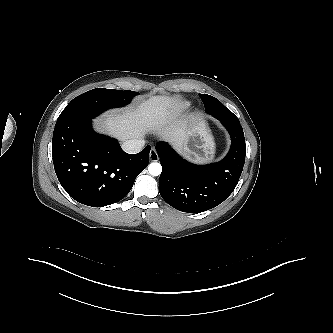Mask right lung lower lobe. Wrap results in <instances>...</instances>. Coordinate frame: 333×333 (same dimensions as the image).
<instances>
[{"label": "right lung lower lobe", "mask_w": 333, "mask_h": 333, "mask_svg": "<svg viewBox=\"0 0 333 333\" xmlns=\"http://www.w3.org/2000/svg\"><path fill=\"white\" fill-rule=\"evenodd\" d=\"M150 146L124 152L114 138L96 133L91 119L58 118L52 156L58 180L76 201L103 207L123 199L149 162Z\"/></svg>", "instance_id": "98d812e1"}]
</instances>
